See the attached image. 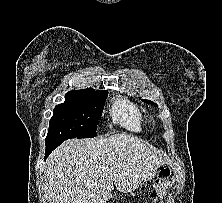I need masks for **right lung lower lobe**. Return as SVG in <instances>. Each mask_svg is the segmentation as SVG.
Returning <instances> with one entry per match:
<instances>
[{"instance_id": "obj_1", "label": "right lung lower lobe", "mask_w": 222, "mask_h": 203, "mask_svg": "<svg viewBox=\"0 0 222 203\" xmlns=\"http://www.w3.org/2000/svg\"><path fill=\"white\" fill-rule=\"evenodd\" d=\"M60 144L59 143H47L46 144V151H45V159L48 157V155Z\"/></svg>"}]
</instances>
